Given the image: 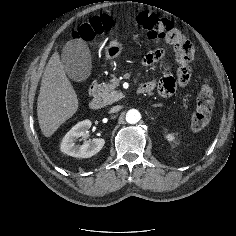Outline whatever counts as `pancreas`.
Listing matches in <instances>:
<instances>
[{
	"label": "pancreas",
	"mask_w": 236,
	"mask_h": 236,
	"mask_svg": "<svg viewBox=\"0 0 236 236\" xmlns=\"http://www.w3.org/2000/svg\"><path fill=\"white\" fill-rule=\"evenodd\" d=\"M115 85L111 83H102L98 86L97 98L104 105L112 104L122 98V93L115 90Z\"/></svg>",
	"instance_id": "obj_1"
}]
</instances>
